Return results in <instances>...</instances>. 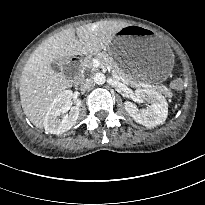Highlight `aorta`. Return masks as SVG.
I'll return each instance as SVG.
<instances>
[{
  "label": "aorta",
  "instance_id": "1",
  "mask_svg": "<svg viewBox=\"0 0 205 205\" xmlns=\"http://www.w3.org/2000/svg\"><path fill=\"white\" fill-rule=\"evenodd\" d=\"M106 81V77L103 73H96L94 75V82L98 85L104 84Z\"/></svg>",
  "mask_w": 205,
  "mask_h": 205
}]
</instances>
